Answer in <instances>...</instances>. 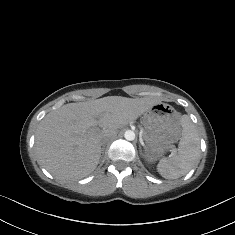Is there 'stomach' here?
I'll return each instance as SVG.
<instances>
[{
    "label": "stomach",
    "mask_w": 235,
    "mask_h": 235,
    "mask_svg": "<svg viewBox=\"0 0 235 235\" xmlns=\"http://www.w3.org/2000/svg\"><path fill=\"white\" fill-rule=\"evenodd\" d=\"M141 124L147 137L146 155L148 162H153L168 150H175L173 143L182 134L181 114L173 106L159 102L143 113Z\"/></svg>",
    "instance_id": "1"
}]
</instances>
